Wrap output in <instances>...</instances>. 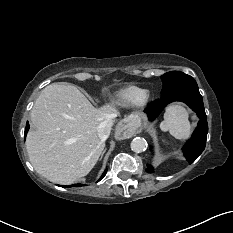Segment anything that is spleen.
<instances>
[{"instance_id":"3e777b00","label":"spleen","mask_w":233,"mask_h":233,"mask_svg":"<svg viewBox=\"0 0 233 233\" xmlns=\"http://www.w3.org/2000/svg\"><path fill=\"white\" fill-rule=\"evenodd\" d=\"M160 128L162 131H169L176 139L188 138L191 125L186 109L177 104L167 107L164 120L160 123Z\"/></svg>"}]
</instances>
